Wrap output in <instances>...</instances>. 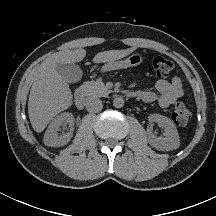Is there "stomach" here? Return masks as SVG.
Returning a JSON list of instances; mask_svg holds the SVG:
<instances>
[{"mask_svg":"<svg viewBox=\"0 0 216 216\" xmlns=\"http://www.w3.org/2000/svg\"><path fill=\"white\" fill-rule=\"evenodd\" d=\"M142 61H143L142 56L138 53H135V54L130 55L125 60L113 62V63L106 65L103 68V71H110V70L123 69V68H128V67H135V66L140 65L142 63Z\"/></svg>","mask_w":216,"mask_h":216,"instance_id":"0dacf381","label":"stomach"}]
</instances>
